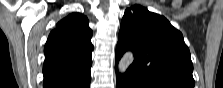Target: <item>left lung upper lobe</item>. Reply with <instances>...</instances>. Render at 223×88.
Wrapping results in <instances>:
<instances>
[{"instance_id": "5c2ea615", "label": "left lung upper lobe", "mask_w": 223, "mask_h": 88, "mask_svg": "<svg viewBox=\"0 0 223 88\" xmlns=\"http://www.w3.org/2000/svg\"><path fill=\"white\" fill-rule=\"evenodd\" d=\"M132 50L127 72L146 88H194L193 63L182 33L163 16L139 5L126 9L121 21L116 62Z\"/></svg>"}]
</instances>
